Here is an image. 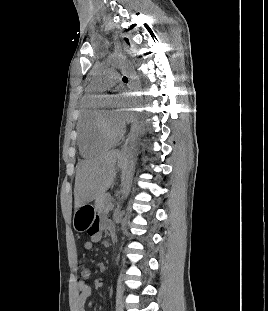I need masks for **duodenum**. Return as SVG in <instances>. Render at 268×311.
I'll list each match as a JSON object with an SVG mask.
<instances>
[{
  "label": "duodenum",
  "mask_w": 268,
  "mask_h": 311,
  "mask_svg": "<svg viewBox=\"0 0 268 311\" xmlns=\"http://www.w3.org/2000/svg\"><path fill=\"white\" fill-rule=\"evenodd\" d=\"M110 234H111L112 240H115V239H116V232H115V229H112V230L110 231Z\"/></svg>",
  "instance_id": "1"
}]
</instances>
